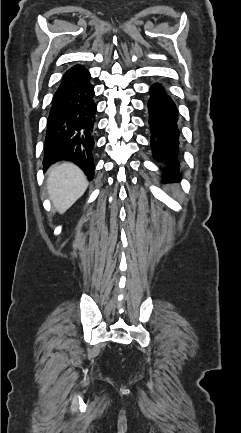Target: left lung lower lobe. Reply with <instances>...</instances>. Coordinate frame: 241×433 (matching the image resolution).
Masks as SVG:
<instances>
[{
    "label": "left lung lower lobe",
    "mask_w": 241,
    "mask_h": 433,
    "mask_svg": "<svg viewBox=\"0 0 241 433\" xmlns=\"http://www.w3.org/2000/svg\"><path fill=\"white\" fill-rule=\"evenodd\" d=\"M149 94L148 125L153 157L167 165L164 180L180 179L181 127L177 106L160 83H154Z\"/></svg>",
    "instance_id": "obj_1"
}]
</instances>
